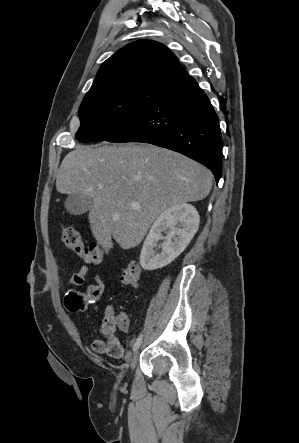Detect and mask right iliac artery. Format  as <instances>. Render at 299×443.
I'll return each mask as SVG.
<instances>
[{
	"label": "right iliac artery",
	"instance_id": "82829eb1",
	"mask_svg": "<svg viewBox=\"0 0 299 443\" xmlns=\"http://www.w3.org/2000/svg\"><path fill=\"white\" fill-rule=\"evenodd\" d=\"M141 342H142V334L139 335V337L137 338L136 342L134 343L133 351H136L140 347Z\"/></svg>",
	"mask_w": 299,
	"mask_h": 443
}]
</instances>
